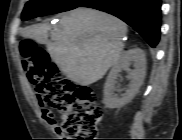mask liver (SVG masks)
I'll return each instance as SVG.
<instances>
[{"mask_svg":"<svg viewBox=\"0 0 182 140\" xmlns=\"http://www.w3.org/2000/svg\"><path fill=\"white\" fill-rule=\"evenodd\" d=\"M50 30V25L39 24L26 28L22 35L46 44L52 60L71 81L90 85L120 60L127 25L107 13L76 8L62 16L48 40Z\"/></svg>","mask_w":182,"mask_h":140,"instance_id":"1","label":"liver"}]
</instances>
